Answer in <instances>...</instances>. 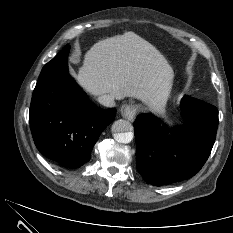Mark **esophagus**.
<instances>
[{"mask_svg":"<svg viewBox=\"0 0 233 233\" xmlns=\"http://www.w3.org/2000/svg\"><path fill=\"white\" fill-rule=\"evenodd\" d=\"M138 111V106L133 103L124 104L121 109V115L123 118L133 121Z\"/></svg>","mask_w":233,"mask_h":233,"instance_id":"esophagus-1","label":"esophagus"}]
</instances>
